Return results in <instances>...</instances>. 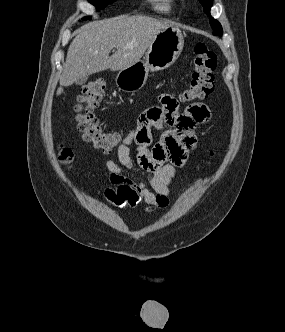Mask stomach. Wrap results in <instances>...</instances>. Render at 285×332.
Returning a JSON list of instances; mask_svg holds the SVG:
<instances>
[{"label":"stomach","instance_id":"1","mask_svg":"<svg viewBox=\"0 0 285 332\" xmlns=\"http://www.w3.org/2000/svg\"><path fill=\"white\" fill-rule=\"evenodd\" d=\"M183 46L184 37L178 27L163 29L149 45L143 61L118 73L117 87L125 92L140 90L147 81L149 71H161L170 67L178 59Z\"/></svg>","mask_w":285,"mask_h":332}]
</instances>
